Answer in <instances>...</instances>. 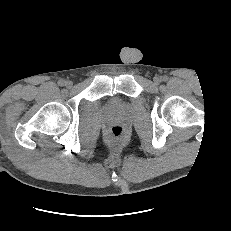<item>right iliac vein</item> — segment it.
Returning a JSON list of instances; mask_svg holds the SVG:
<instances>
[{"instance_id": "63e3f726", "label": "right iliac vein", "mask_w": 231, "mask_h": 231, "mask_svg": "<svg viewBox=\"0 0 231 231\" xmlns=\"http://www.w3.org/2000/svg\"><path fill=\"white\" fill-rule=\"evenodd\" d=\"M72 85H73L72 81H66L65 82V86L68 88L72 87Z\"/></svg>"}]
</instances>
